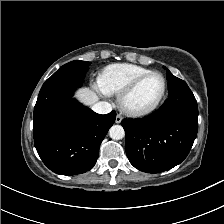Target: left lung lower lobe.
Instances as JSON below:
<instances>
[{
	"instance_id": "1",
	"label": "left lung lower lobe",
	"mask_w": 224,
	"mask_h": 224,
	"mask_svg": "<svg viewBox=\"0 0 224 224\" xmlns=\"http://www.w3.org/2000/svg\"><path fill=\"white\" fill-rule=\"evenodd\" d=\"M126 154L140 171L159 173L180 164L198 131L197 101L189 87L169 94L151 115L124 119Z\"/></svg>"
}]
</instances>
